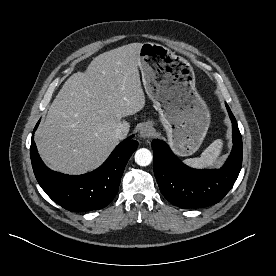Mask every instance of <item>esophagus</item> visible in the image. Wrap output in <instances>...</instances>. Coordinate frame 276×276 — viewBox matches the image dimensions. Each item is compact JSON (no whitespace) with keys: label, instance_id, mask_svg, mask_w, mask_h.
Instances as JSON below:
<instances>
[{"label":"esophagus","instance_id":"obj_1","mask_svg":"<svg viewBox=\"0 0 276 276\" xmlns=\"http://www.w3.org/2000/svg\"><path fill=\"white\" fill-rule=\"evenodd\" d=\"M152 135V129L150 126L145 125L140 128V137L142 138H148Z\"/></svg>","mask_w":276,"mask_h":276}]
</instances>
